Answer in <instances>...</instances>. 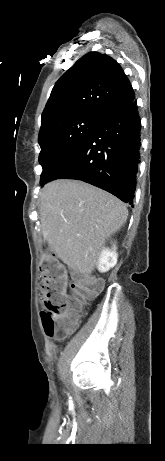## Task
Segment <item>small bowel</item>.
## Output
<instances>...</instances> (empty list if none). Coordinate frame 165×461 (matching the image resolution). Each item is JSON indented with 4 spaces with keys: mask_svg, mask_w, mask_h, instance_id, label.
<instances>
[{
    "mask_svg": "<svg viewBox=\"0 0 165 461\" xmlns=\"http://www.w3.org/2000/svg\"><path fill=\"white\" fill-rule=\"evenodd\" d=\"M97 282L100 283V288H101V286L104 284V281H103L102 279H98Z\"/></svg>",
    "mask_w": 165,
    "mask_h": 461,
    "instance_id": "1",
    "label": "small bowel"
}]
</instances>
